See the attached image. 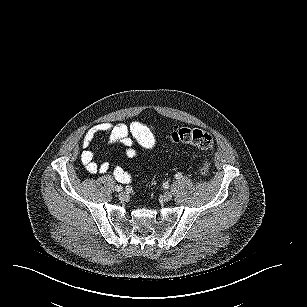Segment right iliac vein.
I'll list each match as a JSON object with an SVG mask.
<instances>
[{
	"label": "right iliac vein",
	"mask_w": 307,
	"mask_h": 307,
	"mask_svg": "<svg viewBox=\"0 0 307 307\" xmlns=\"http://www.w3.org/2000/svg\"><path fill=\"white\" fill-rule=\"evenodd\" d=\"M127 198V193L125 191H122L119 193V199L124 201Z\"/></svg>",
	"instance_id": "63e3f726"
}]
</instances>
